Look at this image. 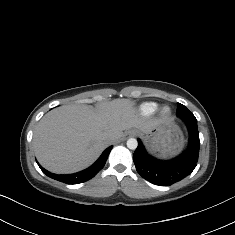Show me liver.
I'll list each match as a JSON object with an SVG mask.
<instances>
[{"instance_id": "obj_1", "label": "liver", "mask_w": 235, "mask_h": 235, "mask_svg": "<svg viewBox=\"0 0 235 235\" xmlns=\"http://www.w3.org/2000/svg\"><path fill=\"white\" fill-rule=\"evenodd\" d=\"M129 99L87 105L61 106L38 123L33 148L39 163L50 172L69 174L90 166L110 144L109 137L136 128L147 133L161 120L139 117Z\"/></svg>"}]
</instances>
